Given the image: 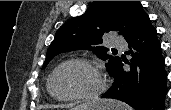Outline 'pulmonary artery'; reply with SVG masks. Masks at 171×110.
<instances>
[{"mask_svg":"<svg viewBox=\"0 0 171 110\" xmlns=\"http://www.w3.org/2000/svg\"><path fill=\"white\" fill-rule=\"evenodd\" d=\"M112 45L114 47L120 48V49H126L127 48V42L126 40H124L121 37H116L113 41H112Z\"/></svg>","mask_w":171,"mask_h":110,"instance_id":"obj_1","label":"pulmonary artery"}]
</instances>
